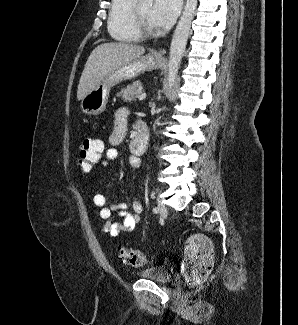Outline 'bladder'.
Segmentation results:
<instances>
[{
  "label": "bladder",
  "instance_id": "1",
  "mask_svg": "<svg viewBox=\"0 0 298 325\" xmlns=\"http://www.w3.org/2000/svg\"><path fill=\"white\" fill-rule=\"evenodd\" d=\"M138 275L141 278L161 284H168L172 280L171 273L163 267L153 266L141 270Z\"/></svg>",
  "mask_w": 298,
  "mask_h": 325
}]
</instances>
